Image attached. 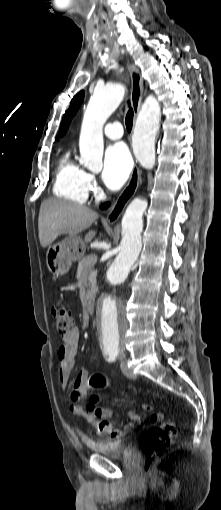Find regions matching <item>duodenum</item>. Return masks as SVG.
<instances>
[{
  "label": "duodenum",
  "instance_id": "duodenum-1",
  "mask_svg": "<svg viewBox=\"0 0 221 510\" xmlns=\"http://www.w3.org/2000/svg\"><path fill=\"white\" fill-rule=\"evenodd\" d=\"M96 301H97V296L96 295H93L89 298L87 304H86V312L87 313H92L94 310H95V307H96Z\"/></svg>",
  "mask_w": 221,
  "mask_h": 510
}]
</instances>
